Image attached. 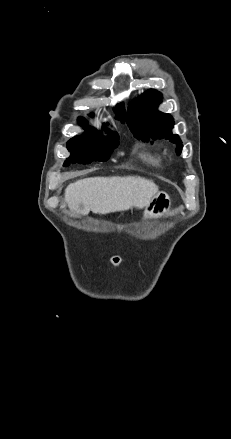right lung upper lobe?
I'll return each instance as SVG.
<instances>
[{
	"label": "right lung upper lobe",
	"instance_id": "1",
	"mask_svg": "<svg viewBox=\"0 0 231 439\" xmlns=\"http://www.w3.org/2000/svg\"><path fill=\"white\" fill-rule=\"evenodd\" d=\"M115 113L122 123L125 122V109L123 104H119L116 106ZM79 121H86V120L81 117L79 118Z\"/></svg>",
	"mask_w": 231,
	"mask_h": 439
}]
</instances>
